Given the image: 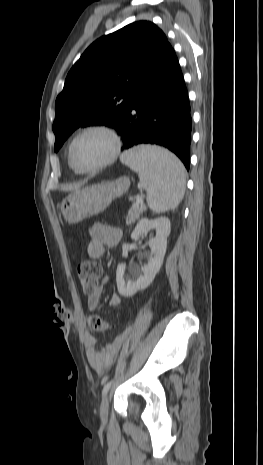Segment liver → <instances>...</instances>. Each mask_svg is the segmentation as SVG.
<instances>
[{
    "mask_svg": "<svg viewBox=\"0 0 263 465\" xmlns=\"http://www.w3.org/2000/svg\"><path fill=\"white\" fill-rule=\"evenodd\" d=\"M81 186H82V183L75 184V185H72V186L65 187V188H63V190L64 191H78Z\"/></svg>",
    "mask_w": 263,
    "mask_h": 465,
    "instance_id": "obj_1",
    "label": "liver"
}]
</instances>
